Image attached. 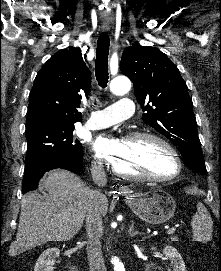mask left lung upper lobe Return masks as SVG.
<instances>
[{
  "label": "left lung upper lobe",
  "mask_w": 221,
  "mask_h": 271,
  "mask_svg": "<svg viewBox=\"0 0 221 271\" xmlns=\"http://www.w3.org/2000/svg\"><path fill=\"white\" fill-rule=\"evenodd\" d=\"M120 68L146 111L143 121L177 146L187 167L207 174L193 103L177 66L160 50L135 44L124 50Z\"/></svg>",
  "instance_id": "left-lung-upper-lobe-1"
}]
</instances>
